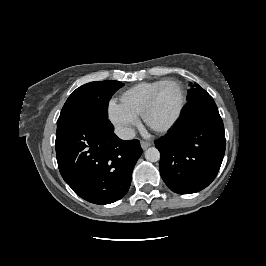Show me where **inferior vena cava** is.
I'll return each mask as SVG.
<instances>
[{
  "label": "inferior vena cava",
  "instance_id": "inferior-vena-cava-1",
  "mask_svg": "<svg viewBox=\"0 0 266 266\" xmlns=\"http://www.w3.org/2000/svg\"><path fill=\"white\" fill-rule=\"evenodd\" d=\"M115 134L123 140L133 139L135 137V130L131 127L118 126L115 128Z\"/></svg>",
  "mask_w": 266,
  "mask_h": 266
}]
</instances>
